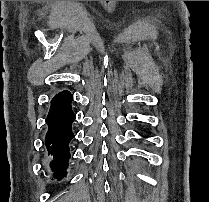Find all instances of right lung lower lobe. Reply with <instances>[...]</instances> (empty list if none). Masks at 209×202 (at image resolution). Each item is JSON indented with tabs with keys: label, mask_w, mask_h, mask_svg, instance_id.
Masks as SVG:
<instances>
[{
	"label": "right lung lower lobe",
	"mask_w": 209,
	"mask_h": 202,
	"mask_svg": "<svg viewBox=\"0 0 209 202\" xmlns=\"http://www.w3.org/2000/svg\"><path fill=\"white\" fill-rule=\"evenodd\" d=\"M73 96L69 91L56 94L51 100V106L46 118L48 131L45 137V146L48 156H51L50 168L54 177L62 179L66 174L70 159L69 142L74 138L72 123L75 114L72 111L71 102Z\"/></svg>",
	"instance_id": "right-lung-lower-lobe-1"
}]
</instances>
